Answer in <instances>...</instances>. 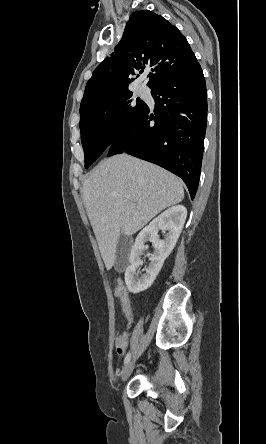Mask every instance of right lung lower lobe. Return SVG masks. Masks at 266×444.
<instances>
[{
  "instance_id": "right-lung-lower-lobe-1",
  "label": "right lung lower lobe",
  "mask_w": 266,
  "mask_h": 444,
  "mask_svg": "<svg viewBox=\"0 0 266 444\" xmlns=\"http://www.w3.org/2000/svg\"><path fill=\"white\" fill-rule=\"evenodd\" d=\"M154 115L147 106L108 147V156L126 152L179 176L195 197L207 124L205 78L199 63L152 88ZM154 121V122H153Z\"/></svg>"
}]
</instances>
